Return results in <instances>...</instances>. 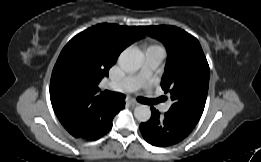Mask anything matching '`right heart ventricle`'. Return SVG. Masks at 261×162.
<instances>
[{"instance_id": "1", "label": "right heart ventricle", "mask_w": 261, "mask_h": 162, "mask_svg": "<svg viewBox=\"0 0 261 162\" xmlns=\"http://www.w3.org/2000/svg\"><path fill=\"white\" fill-rule=\"evenodd\" d=\"M149 48H161V47L157 46V45H152V46L148 47L147 49H149Z\"/></svg>"}]
</instances>
